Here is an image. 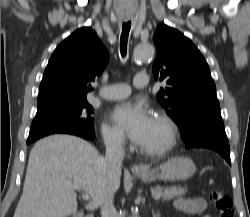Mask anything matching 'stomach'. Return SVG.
<instances>
[{
	"label": "stomach",
	"instance_id": "1",
	"mask_svg": "<svg viewBox=\"0 0 250 217\" xmlns=\"http://www.w3.org/2000/svg\"><path fill=\"white\" fill-rule=\"evenodd\" d=\"M196 172L194 162L186 157H177L169 159L156 168H150L146 173H137L145 182L155 180L164 181H185L191 178Z\"/></svg>",
	"mask_w": 250,
	"mask_h": 217
}]
</instances>
